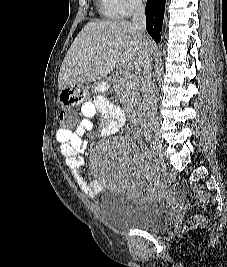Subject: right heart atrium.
Segmentation results:
<instances>
[{
	"label": "right heart atrium",
	"mask_w": 227,
	"mask_h": 267,
	"mask_svg": "<svg viewBox=\"0 0 227 267\" xmlns=\"http://www.w3.org/2000/svg\"><path fill=\"white\" fill-rule=\"evenodd\" d=\"M122 16H129L143 6V0H113Z\"/></svg>",
	"instance_id": "obj_1"
}]
</instances>
